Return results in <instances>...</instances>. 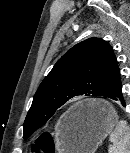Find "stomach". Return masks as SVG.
<instances>
[{
    "label": "stomach",
    "instance_id": "obj_1",
    "mask_svg": "<svg viewBox=\"0 0 130 153\" xmlns=\"http://www.w3.org/2000/svg\"><path fill=\"white\" fill-rule=\"evenodd\" d=\"M117 122L109 103L97 99L80 102L56 126L57 149L59 153H95Z\"/></svg>",
    "mask_w": 130,
    "mask_h": 153
}]
</instances>
